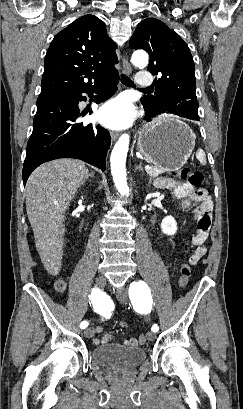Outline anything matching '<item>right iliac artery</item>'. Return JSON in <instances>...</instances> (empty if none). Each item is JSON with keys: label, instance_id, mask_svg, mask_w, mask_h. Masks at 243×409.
<instances>
[{"label": "right iliac artery", "instance_id": "obj_1", "mask_svg": "<svg viewBox=\"0 0 243 409\" xmlns=\"http://www.w3.org/2000/svg\"><path fill=\"white\" fill-rule=\"evenodd\" d=\"M89 299L91 300L94 309L100 314H102V312L104 311V304L101 292L98 289H93L91 295H89ZM87 326H88L87 321H83L80 324L81 329H85Z\"/></svg>", "mask_w": 243, "mask_h": 409}]
</instances>
